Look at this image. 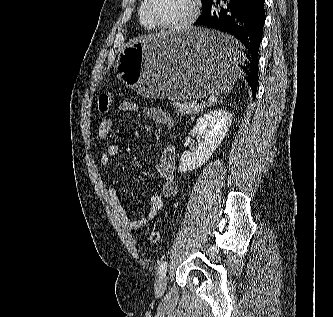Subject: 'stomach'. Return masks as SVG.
<instances>
[{
    "label": "stomach",
    "instance_id": "0dacf381",
    "mask_svg": "<svg viewBox=\"0 0 333 317\" xmlns=\"http://www.w3.org/2000/svg\"><path fill=\"white\" fill-rule=\"evenodd\" d=\"M245 45L224 29L190 28L129 43L119 53L122 81L144 98L215 97L243 82L239 62H248Z\"/></svg>",
    "mask_w": 333,
    "mask_h": 317
}]
</instances>
